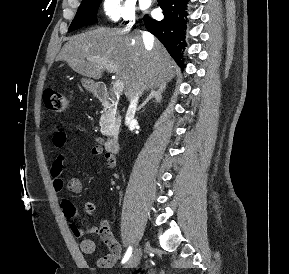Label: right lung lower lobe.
<instances>
[{
	"label": "right lung lower lobe",
	"instance_id": "right-lung-lower-lobe-1",
	"mask_svg": "<svg viewBox=\"0 0 289 274\" xmlns=\"http://www.w3.org/2000/svg\"><path fill=\"white\" fill-rule=\"evenodd\" d=\"M188 0H158L164 19L153 20L145 15L144 23L146 29L155 35L166 47L169 54L183 69L185 65L182 60V50L186 46L185 30Z\"/></svg>",
	"mask_w": 289,
	"mask_h": 274
}]
</instances>
